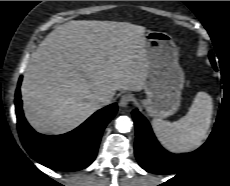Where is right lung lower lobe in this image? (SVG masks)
Returning <instances> with one entry per match:
<instances>
[{"instance_id":"1","label":"right lung lower lobe","mask_w":230,"mask_h":186,"mask_svg":"<svg viewBox=\"0 0 230 186\" xmlns=\"http://www.w3.org/2000/svg\"><path fill=\"white\" fill-rule=\"evenodd\" d=\"M21 81L22 76L16 89L15 107L18 131L26 151L53 170L71 172L89 166L96 157L104 128L117 112V105L100 109L71 132L46 136L35 132L24 117L19 88Z\"/></svg>"}]
</instances>
